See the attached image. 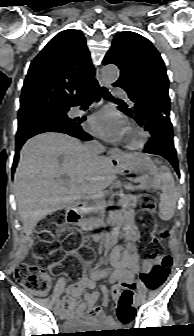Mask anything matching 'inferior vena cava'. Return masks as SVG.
Returning <instances> with one entry per match:
<instances>
[{"instance_id": "1", "label": "inferior vena cava", "mask_w": 194, "mask_h": 336, "mask_svg": "<svg viewBox=\"0 0 194 336\" xmlns=\"http://www.w3.org/2000/svg\"><path fill=\"white\" fill-rule=\"evenodd\" d=\"M86 150L90 156V163L95 165L99 160V155L105 151V148L101 143L95 141L86 144Z\"/></svg>"}]
</instances>
